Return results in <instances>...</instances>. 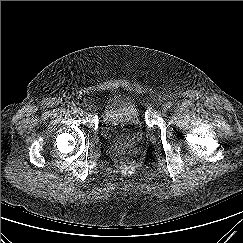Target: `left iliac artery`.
Instances as JSON below:
<instances>
[{"mask_svg": "<svg viewBox=\"0 0 243 243\" xmlns=\"http://www.w3.org/2000/svg\"><path fill=\"white\" fill-rule=\"evenodd\" d=\"M172 106V103L171 102H168L167 104H166V107L167 108H170Z\"/></svg>", "mask_w": 243, "mask_h": 243, "instance_id": "left-iliac-artery-1", "label": "left iliac artery"}]
</instances>
